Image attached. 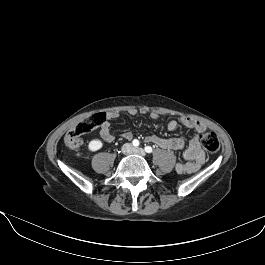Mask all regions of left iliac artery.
<instances>
[{"label": "left iliac artery", "mask_w": 265, "mask_h": 265, "mask_svg": "<svg viewBox=\"0 0 265 265\" xmlns=\"http://www.w3.org/2000/svg\"><path fill=\"white\" fill-rule=\"evenodd\" d=\"M144 150H145L147 153H151V152L153 151L152 147H150V146H146V147L144 148Z\"/></svg>", "instance_id": "left-iliac-artery-1"}]
</instances>
